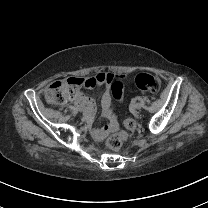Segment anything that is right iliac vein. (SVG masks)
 Here are the masks:
<instances>
[{"instance_id":"1","label":"right iliac vein","mask_w":208,"mask_h":208,"mask_svg":"<svg viewBox=\"0 0 208 208\" xmlns=\"http://www.w3.org/2000/svg\"><path fill=\"white\" fill-rule=\"evenodd\" d=\"M77 110H78L79 112H82V111H83V107H82V106H78V107H77Z\"/></svg>"}]
</instances>
